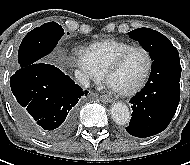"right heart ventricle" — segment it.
I'll use <instances>...</instances> for the list:
<instances>
[{"label": "right heart ventricle", "instance_id": "obj_1", "mask_svg": "<svg viewBox=\"0 0 190 165\" xmlns=\"http://www.w3.org/2000/svg\"><path fill=\"white\" fill-rule=\"evenodd\" d=\"M130 46L132 44L126 41L105 39L91 43L87 50L96 67L104 74L113 59Z\"/></svg>", "mask_w": 190, "mask_h": 165}]
</instances>
